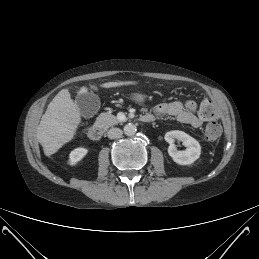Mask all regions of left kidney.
<instances>
[{
  "mask_svg": "<svg viewBox=\"0 0 259 259\" xmlns=\"http://www.w3.org/2000/svg\"><path fill=\"white\" fill-rule=\"evenodd\" d=\"M165 141L169 143L168 153L173 161L179 165H189L195 162L201 154V146L199 142L183 131H169L164 136ZM180 140L187 147L183 151L177 150L174 141Z\"/></svg>",
  "mask_w": 259,
  "mask_h": 259,
  "instance_id": "5707ae66",
  "label": "left kidney"
}]
</instances>
